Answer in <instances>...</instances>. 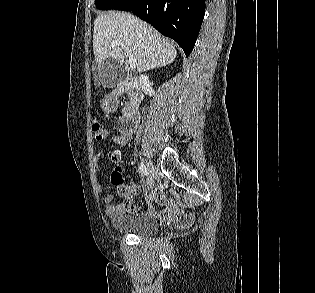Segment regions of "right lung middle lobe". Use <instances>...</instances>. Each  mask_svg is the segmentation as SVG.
<instances>
[{
	"instance_id": "obj_1",
	"label": "right lung middle lobe",
	"mask_w": 315,
	"mask_h": 293,
	"mask_svg": "<svg viewBox=\"0 0 315 293\" xmlns=\"http://www.w3.org/2000/svg\"><path fill=\"white\" fill-rule=\"evenodd\" d=\"M123 0H96V7L98 9H111Z\"/></svg>"
}]
</instances>
